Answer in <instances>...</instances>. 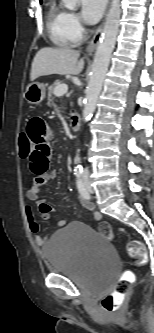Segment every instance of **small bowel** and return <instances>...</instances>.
<instances>
[{"label": "small bowel", "instance_id": "1", "mask_svg": "<svg viewBox=\"0 0 154 333\" xmlns=\"http://www.w3.org/2000/svg\"><path fill=\"white\" fill-rule=\"evenodd\" d=\"M26 134L32 142V150L30 153L29 166L34 174L33 181L27 191V197L31 201H35L38 210L41 214V218L45 221H49L52 218L55 210L50 206L46 200L40 197L41 187L45 185L49 180L54 179L57 176L55 170H50L51 161V136L52 132L48 124L41 118L34 117L30 119L27 125ZM81 203L92 212L93 219L99 221L101 214L94 209V205L87 199L81 196ZM27 219L29 229L34 235L35 242L42 246L46 243L47 237H43L39 234L40 226L35 220L32 210L27 207ZM56 224L60 227L66 225V221L58 220Z\"/></svg>", "mask_w": 154, "mask_h": 333}]
</instances>
